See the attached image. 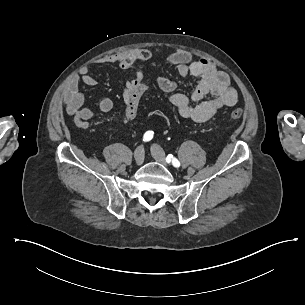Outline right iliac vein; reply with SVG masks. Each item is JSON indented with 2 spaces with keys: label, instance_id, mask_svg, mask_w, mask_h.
<instances>
[{
  "label": "right iliac vein",
  "instance_id": "1",
  "mask_svg": "<svg viewBox=\"0 0 305 305\" xmlns=\"http://www.w3.org/2000/svg\"><path fill=\"white\" fill-rule=\"evenodd\" d=\"M134 157L137 165H141L144 161V148L138 147L134 152Z\"/></svg>",
  "mask_w": 305,
  "mask_h": 305
}]
</instances>
